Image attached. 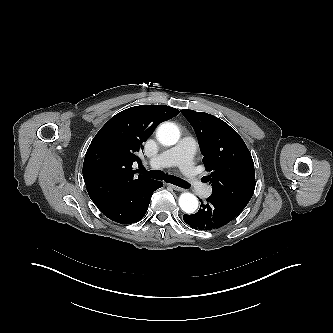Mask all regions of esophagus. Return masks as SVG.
<instances>
[{"mask_svg": "<svg viewBox=\"0 0 333 333\" xmlns=\"http://www.w3.org/2000/svg\"><path fill=\"white\" fill-rule=\"evenodd\" d=\"M169 185V187H171L172 189H174V190H176V191H184V189L183 188H181V187H178V186H176V185H173V184H168Z\"/></svg>", "mask_w": 333, "mask_h": 333, "instance_id": "obj_1", "label": "esophagus"}]
</instances>
